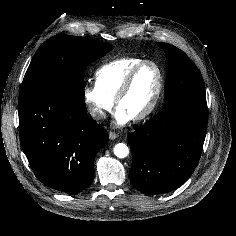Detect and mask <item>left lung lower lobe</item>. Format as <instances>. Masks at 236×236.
<instances>
[{"mask_svg":"<svg viewBox=\"0 0 236 236\" xmlns=\"http://www.w3.org/2000/svg\"><path fill=\"white\" fill-rule=\"evenodd\" d=\"M206 129V97L168 103L128 135L133 155L132 185L150 195L167 193L182 185L198 165Z\"/></svg>","mask_w":236,"mask_h":236,"instance_id":"1","label":"left lung lower lobe"}]
</instances>
